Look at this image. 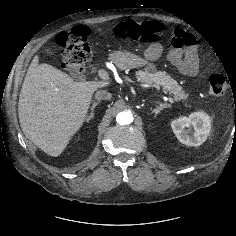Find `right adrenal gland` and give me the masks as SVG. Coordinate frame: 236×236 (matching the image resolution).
Here are the masks:
<instances>
[{
    "label": "right adrenal gland",
    "instance_id": "1",
    "mask_svg": "<svg viewBox=\"0 0 236 236\" xmlns=\"http://www.w3.org/2000/svg\"><path fill=\"white\" fill-rule=\"evenodd\" d=\"M99 104H100V101L93 103L90 115L87 118V122H89L91 119H93V117H94V110H95L96 106L99 105Z\"/></svg>",
    "mask_w": 236,
    "mask_h": 236
}]
</instances>
